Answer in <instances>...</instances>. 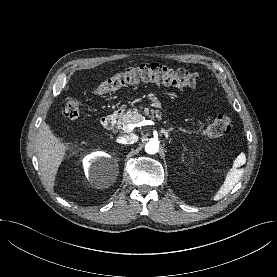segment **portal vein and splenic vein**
<instances>
[{"label":"portal vein and splenic vein","mask_w":277,"mask_h":277,"mask_svg":"<svg viewBox=\"0 0 277 277\" xmlns=\"http://www.w3.org/2000/svg\"><path fill=\"white\" fill-rule=\"evenodd\" d=\"M154 124L151 120H145L136 124H128L125 128H123L126 131H132L136 126H143V125H151Z\"/></svg>","instance_id":"obj_1"}]
</instances>
